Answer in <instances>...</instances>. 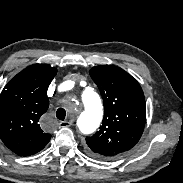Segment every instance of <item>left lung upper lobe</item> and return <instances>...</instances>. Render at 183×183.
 I'll return each mask as SVG.
<instances>
[{"mask_svg":"<svg viewBox=\"0 0 183 183\" xmlns=\"http://www.w3.org/2000/svg\"><path fill=\"white\" fill-rule=\"evenodd\" d=\"M104 103L102 126L86 138L87 151L109 159L130 150L140 139L146 120L145 97L134 77L113 65L91 68Z\"/></svg>","mask_w":183,"mask_h":183,"instance_id":"5c2ea615","label":"left lung upper lobe"}]
</instances>
